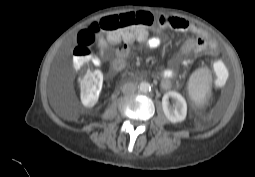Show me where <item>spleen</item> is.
<instances>
[{"label": "spleen", "instance_id": "spleen-1", "mask_svg": "<svg viewBox=\"0 0 255 177\" xmlns=\"http://www.w3.org/2000/svg\"><path fill=\"white\" fill-rule=\"evenodd\" d=\"M211 74L207 68L196 70L189 80V93L191 98L197 103L202 104L210 90Z\"/></svg>", "mask_w": 255, "mask_h": 177}]
</instances>
